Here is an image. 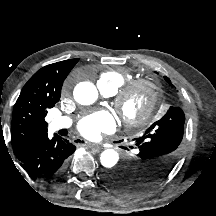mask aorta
Wrapping results in <instances>:
<instances>
[{
    "mask_svg": "<svg viewBox=\"0 0 216 216\" xmlns=\"http://www.w3.org/2000/svg\"><path fill=\"white\" fill-rule=\"evenodd\" d=\"M74 99L82 105L93 104L98 98V91L90 82H80L74 88ZM119 161L118 153L113 149H106L100 155V162L105 168H113Z\"/></svg>",
    "mask_w": 216,
    "mask_h": 216,
    "instance_id": "1",
    "label": "aorta"
}]
</instances>
